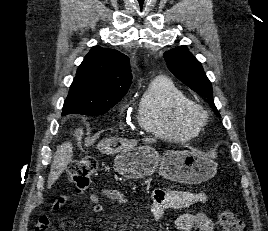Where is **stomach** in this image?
Returning <instances> with one entry per match:
<instances>
[{
  "mask_svg": "<svg viewBox=\"0 0 268 231\" xmlns=\"http://www.w3.org/2000/svg\"><path fill=\"white\" fill-rule=\"evenodd\" d=\"M217 163L191 150H170L159 155L150 146H135L121 150L114 160L115 170L124 178L140 179L156 170L170 181L198 184L211 179L217 172Z\"/></svg>",
  "mask_w": 268,
  "mask_h": 231,
  "instance_id": "0dacf381",
  "label": "stomach"
}]
</instances>
